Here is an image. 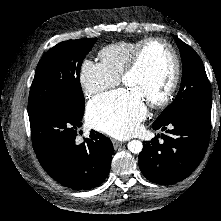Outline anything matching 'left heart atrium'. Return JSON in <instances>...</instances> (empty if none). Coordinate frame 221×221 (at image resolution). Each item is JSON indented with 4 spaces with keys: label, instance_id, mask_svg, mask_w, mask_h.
Returning <instances> with one entry per match:
<instances>
[{
    "label": "left heart atrium",
    "instance_id": "39dd6f15",
    "mask_svg": "<svg viewBox=\"0 0 221 221\" xmlns=\"http://www.w3.org/2000/svg\"><path fill=\"white\" fill-rule=\"evenodd\" d=\"M146 116L145 102L131 89H119L98 96L87 108V119L97 130L117 139L128 138Z\"/></svg>",
    "mask_w": 221,
    "mask_h": 221
}]
</instances>
